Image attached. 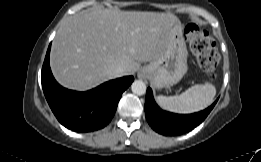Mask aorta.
I'll list each match as a JSON object with an SVG mask.
<instances>
[{
    "label": "aorta",
    "mask_w": 261,
    "mask_h": 162,
    "mask_svg": "<svg viewBox=\"0 0 261 162\" xmlns=\"http://www.w3.org/2000/svg\"><path fill=\"white\" fill-rule=\"evenodd\" d=\"M146 84L141 80H136L131 85V90L136 95H143L146 93Z\"/></svg>",
    "instance_id": "obj_1"
}]
</instances>
